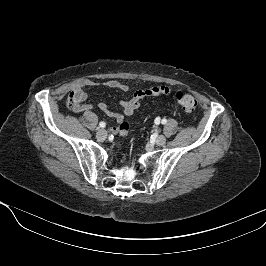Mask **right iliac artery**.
Returning a JSON list of instances; mask_svg holds the SVG:
<instances>
[{"label": "right iliac artery", "mask_w": 266, "mask_h": 266, "mask_svg": "<svg viewBox=\"0 0 266 266\" xmlns=\"http://www.w3.org/2000/svg\"><path fill=\"white\" fill-rule=\"evenodd\" d=\"M99 126H100L101 128H104V127L106 126V124H105V122H100V123H99Z\"/></svg>", "instance_id": "1"}]
</instances>
